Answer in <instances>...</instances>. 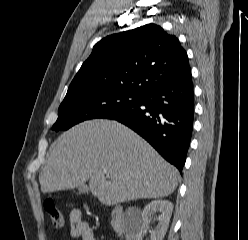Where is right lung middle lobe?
I'll return each instance as SVG.
<instances>
[{
    "label": "right lung middle lobe",
    "instance_id": "right-lung-middle-lobe-1",
    "mask_svg": "<svg viewBox=\"0 0 248 240\" xmlns=\"http://www.w3.org/2000/svg\"><path fill=\"white\" fill-rule=\"evenodd\" d=\"M143 94L120 89L84 88L68 90L58 110L53 130H67L73 125L95 118H107L136 105Z\"/></svg>",
    "mask_w": 248,
    "mask_h": 240
}]
</instances>
